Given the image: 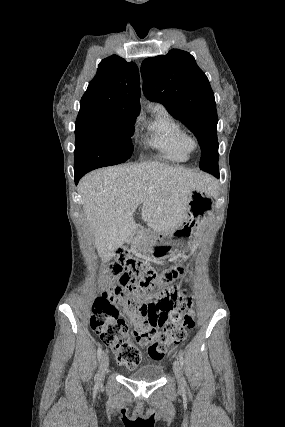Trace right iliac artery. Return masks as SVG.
Here are the masks:
<instances>
[{
  "mask_svg": "<svg viewBox=\"0 0 285 427\" xmlns=\"http://www.w3.org/2000/svg\"><path fill=\"white\" fill-rule=\"evenodd\" d=\"M102 352H103V351H102V347H99V348H98V350H97V357H98V360H99V361H100V359H101ZM98 377H99V373H97V374H96V376H95L96 385H98V384H97Z\"/></svg>",
  "mask_w": 285,
  "mask_h": 427,
  "instance_id": "1",
  "label": "right iliac artery"
}]
</instances>
